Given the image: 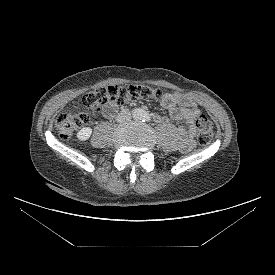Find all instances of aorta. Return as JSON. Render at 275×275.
<instances>
[{"instance_id": "aorta-1", "label": "aorta", "mask_w": 275, "mask_h": 275, "mask_svg": "<svg viewBox=\"0 0 275 275\" xmlns=\"http://www.w3.org/2000/svg\"><path fill=\"white\" fill-rule=\"evenodd\" d=\"M133 115L135 119H143L144 111L142 109H135Z\"/></svg>"}]
</instances>
